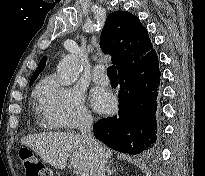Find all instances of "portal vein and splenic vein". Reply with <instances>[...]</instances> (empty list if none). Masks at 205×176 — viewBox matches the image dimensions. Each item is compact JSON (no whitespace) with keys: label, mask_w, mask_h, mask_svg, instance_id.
<instances>
[{"label":"portal vein and splenic vein","mask_w":205,"mask_h":176,"mask_svg":"<svg viewBox=\"0 0 205 176\" xmlns=\"http://www.w3.org/2000/svg\"><path fill=\"white\" fill-rule=\"evenodd\" d=\"M81 176H89L87 173H82Z\"/></svg>","instance_id":"obj_1"}]
</instances>
